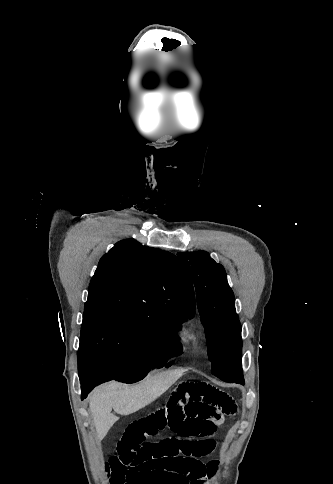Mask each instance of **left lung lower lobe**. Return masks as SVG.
<instances>
[{"mask_svg":"<svg viewBox=\"0 0 333 484\" xmlns=\"http://www.w3.org/2000/svg\"><path fill=\"white\" fill-rule=\"evenodd\" d=\"M239 361H240V364H241V357H240ZM240 383H241V384H243L244 382L242 381V382H240Z\"/></svg>","mask_w":333,"mask_h":484,"instance_id":"left-lung-lower-lobe-1","label":"left lung lower lobe"}]
</instances>
